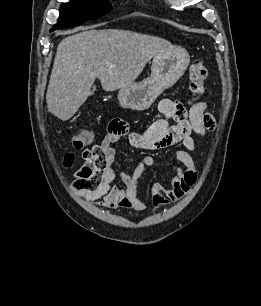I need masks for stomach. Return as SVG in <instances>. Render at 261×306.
Segmentation results:
<instances>
[{
	"mask_svg": "<svg viewBox=\"0 0 261 306\" xmlns=\"http://www.w3.org/2000/svg\"><path fill=\"white\" fill-rule=\"evenodd\" d=\"M189 62V54L181 46L160 51L153 57L149 77L119 89L120 105L136 111L148 109L163 91L182 77Z\"/></svg>",
	"mask_w": 261,
	"mask_h": 306,
	"instance_id": "0dacf381",
	"label": "stomach"
}]
</instances>
